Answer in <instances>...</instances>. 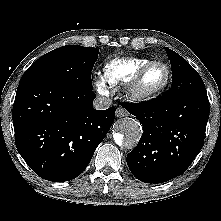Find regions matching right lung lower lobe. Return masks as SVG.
I'll list each match as a JSON object with an SVG mask.
<instances>
[{
  "label": "right lung lower lobe",
  "mask_w": 221,
  "mask_h": 221,
  "mask_svg": "<svg viewBox=\"0 0 221 221\" xmlns=\"http://www.w3.org/2000/svg\"><path fill=\"white\" fill-rule=\"evenodd\" d=\"M92 90L57 84H19L12 111L17 150L41 178L79 176L114 122L115 107L93 108Z\"/></svg>",
  "instance_id": "obj_1"
}]
</instances>
